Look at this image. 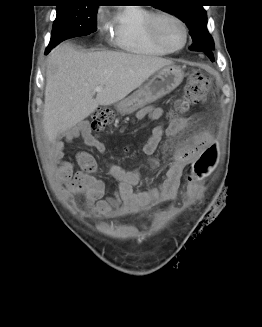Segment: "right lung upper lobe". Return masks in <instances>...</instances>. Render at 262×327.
Returning <instances> with one entry per match:
<instances>
[{"instance_id": "cb5924a9", "label": "right lung upper lobe", "mask_w": 262, "mask_h": 327, "mask_svg": "<svg viewBox=\"0 0 262 327\" xmlns=\"http://www.w3.org/2000/svg\"><path fill=\"white\" fill-rule=\"evenodd\" d=\"M59 2H75V1H82V0H58Z\"/></svg>"}]
</instances>
